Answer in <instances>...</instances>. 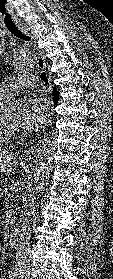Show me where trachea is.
Segmentation results:
<instances>
[{
    "label": "trachea",
    "instance_id": "1",
    "mask_svg": "<svg viewBox=\"0 0 113 279\" xmlns=\"http://www.w3.org/2000/svg\"><path fill=\"white\" fill-rule=\"evenodd\" d=\"M7 28L12 34L17 36L18 38H21L26 41H29L31 39L29 36H27L21 30H19L15 25L7 26ZM40 77L43 82H45V83L47 82V76H46L45 72H43Z\"/></svg>",
    "mask_w": 113,
    "mask_h": 279
}]
</instances>
